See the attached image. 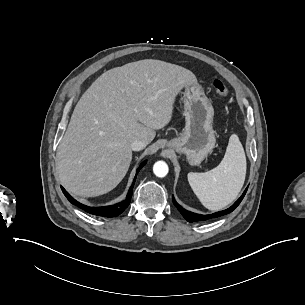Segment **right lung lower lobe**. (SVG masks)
Wrapping results in <instances>:
<instances>
[{"mask_svg": "<svg viewBox=\"0 0 305 305\" xmlns=\"http://www.w3.org/2000/svg\"><path fill=\"white\" fill-rule=\"evenodd\" d=\"M146 164V162H143L138 170L137 173L139 172V170ZM135 179L133 181L132 186L129 189V192L127 194V197L124 201H122L121 203H117L115 205H111V206H105V207H88L86 205H83L81 203H79L78 201H76L74 198H72L66 191L65 189L62 188L64 195L66 196V198L74 205L78 206L79 208L83 209L84 211L94 214V215H98V216H106V217H114L117 216L119 214H121L129 205L130 200H131V195H132V190H133V186L135 183Z\"/></svg>", "mask_w": 305, "mask_h": 305, "instance_id": "98d812e1", "label": "right lung lower lobe"}]
</instances>
